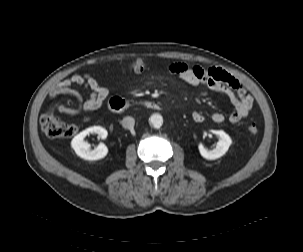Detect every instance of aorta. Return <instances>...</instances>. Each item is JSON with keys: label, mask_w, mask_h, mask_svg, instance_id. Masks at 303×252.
Segmentation results:
<instances>
[{"label": "aorta", "mask_w": 303, "mask_h": 252, "mask_svg": "<svg viewBox=\"0 0 303 252\" xmlns=\"http://www.w3.org/2000/svg\"><path fill=\"white\" fill-rule=\"evenodd\" d=\"M163 123V118L160 114H153L151 117H150V124L155 127V128H159L161 127Z\"/></svg>", "instance_id": "obj_1"}]
</instances>
